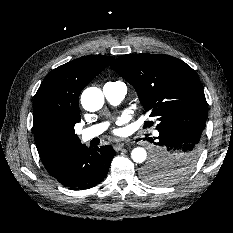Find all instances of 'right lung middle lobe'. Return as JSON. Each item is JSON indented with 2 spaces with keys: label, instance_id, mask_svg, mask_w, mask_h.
I'll list each match as a JSON object with an SVG mask.
<instances>
[{
  "label": "right lung middle lobe",
  "instance_id": "obj_1",
  "mask_svg": "<svg viewBox=\"0 0 233 233\" xmlns=\"http://www.w3.org/2000/svg\"><path fill=\"white\" fill-rule=\"evenodd\" d=\"M67 148V142H61L58 146H57V149L58 151L59 150H62V149H66Z\"/></svg>",
  "mask_w": 233,
  "mask_h": 233
}]
</instances>
